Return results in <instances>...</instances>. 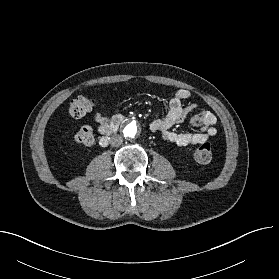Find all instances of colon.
Here are the masks:
<instances>
[{
	"label": "colon",
	"instance_id": "1",
	"mask_svg": "<svg viewBox=\"0 0 279 279\" xmlns=\"http://www.w3.org/2000/svg\"><path fill=\"white\" fill-rule=\"evenodd\" d=\"M93 108V100L79 96L74 99L68 108V116L74 119L84 117ZM74 140L77 144L88 146L91 145L94 140L93 131L90 127H82L74 136ZM213 154L211 146L208 142L201 144L194 153V158L198 163L207 164L212 160Z\"/></svg>",
	"mask_w": 279,
	"mask_h": 279
}]
</instances>
